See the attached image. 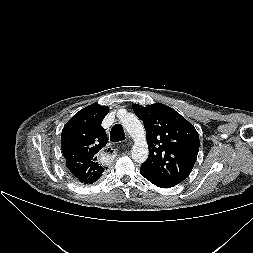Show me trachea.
<instances>
[{"mask_svg":"<svg viewBox=\"0 0 253 253\" xmlns=\"http://www.w3.org/2000/svg\"><path fill=\"white\" fill-rule=\"evenodd\" d=\"M125 139V133L120 124H115L110 132V141L119 142Z\"/></svg>","mask_w":253,"mask_h":253,"instance_id":"obj_1","label":"trachea"}]
</instances>
